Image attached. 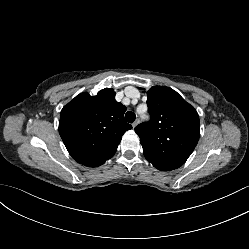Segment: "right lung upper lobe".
<instances>
[{"label":"right lung upper lobe","mask_w":249,"mask_h":249,"mask_svg":"<svg viewBox=\"0 0 249 249\" xmlns=\"http://www.w3.org/2000/svg\"><path fill=\"white\" fill-rule=\"evenodd\" d=\"M125 111L113 89H103L96 96L77 95L63 107L59 121V133L70 155L84 165L112 157L123 134L132 128L124 121Z\"/></svg>","instance_id":"1"}]
</instances>
